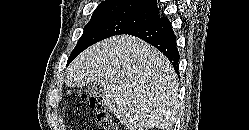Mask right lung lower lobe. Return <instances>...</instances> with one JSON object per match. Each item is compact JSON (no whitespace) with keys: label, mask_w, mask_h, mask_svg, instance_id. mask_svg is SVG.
Instances as JSON below:
<instances>
[{"label":"right lung lower lobe","mask_w":249,"mask_h":130,"mask_svg":"<svg viewBox=\"0 0 249 130\" xmlns=\"http://www.w3.org/2000/svg\"><path fill=\"white\" fill-rule=\"evenodd\" d=\"M125 34L141 38L162 52L172 63L178 72V62L180 59L176 37L167 17H159L147 24L136 27Z\"/></svg>","instance_id":"1"}]
</instances>
